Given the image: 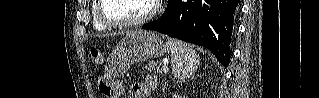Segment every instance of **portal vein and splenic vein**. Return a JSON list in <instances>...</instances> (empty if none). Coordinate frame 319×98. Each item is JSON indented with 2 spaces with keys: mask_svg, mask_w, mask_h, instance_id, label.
<instances>
[{
  "mask_svg": "<svg viewBox=\"0 0 319 98\" xmlns=\"http://www.w3.org/2000/svg\"><path fill=\"white\" fill-rule=\"evenodd\" d=\"M162 69L164 72H168L169 71V68H168V63H163V66H162Z\"/></svg>",
  "mask_w": 319,
  "mask_h": 98,
  "instance_id": "1",
  "label": "portal vein and splenic vein"
}]
</instances>
